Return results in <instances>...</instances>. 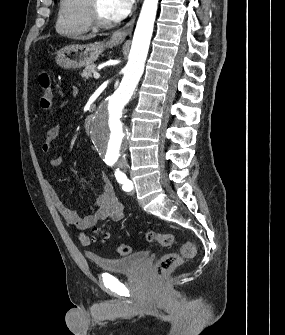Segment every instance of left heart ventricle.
I'll use <instances>...</instances> for the list:
<instances>
[{
  "instance_id": "obj_1",
  "label": "left heart ventricle",
  "mask_w": 285,
  "mask_h": 335,
  "mask_svg": "<svg viewBox=\"0 0 285 335\" xmlns=\"http://www.w3.org/2000/svg\"><path fill=\"white\" fill-rule=\"evenodd\" d=\"M99 5H100V10H101V14L103 16L104 19L111 21V16L108 12V9H107V4H106V1H99Z\"/></svg>"
}]
</instances>
